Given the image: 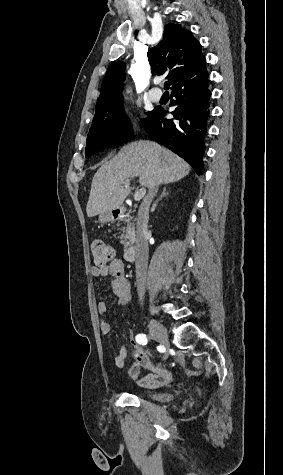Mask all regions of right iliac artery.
Instances as JSON below:
<instances>
[{
    "instance_id": "82829eb1",
    "label": "right iliac artery",
    "mask_w": 283,
    "mask_h": 475,
    "mask_svg": "<svg viewBox=\"0 0 283 475\" xmlns=\"http://www.w3.org/2000/svg\"><path fill=\"white\" fill-rule=\"evenodd\" d=\"M147 336L145 334H138L136 336V342L139 343V344H142V345H146L147 344Z\"/></svg>"
}]
</instances>
